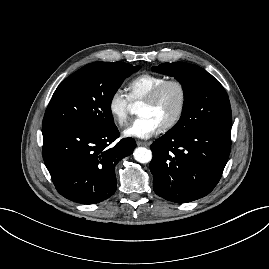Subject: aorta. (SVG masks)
<instances>
[{
    "label": "aorta",
    "instance_id": "obj_1",
    "mask_svg": "<svg viewBox=\"0 0 269 269\" xmlns=\"http://www.w3.org/2000/svg\"><path fill=\"white\" fill-rule=\"evenodd\" d=\"M133 156H134V159L139 163H148L152 160L151 150L144 147L136 148L133 152Z\"/></svg>",
    "mask_w": 269,
    "mask_h": 269
}]
</instances>
